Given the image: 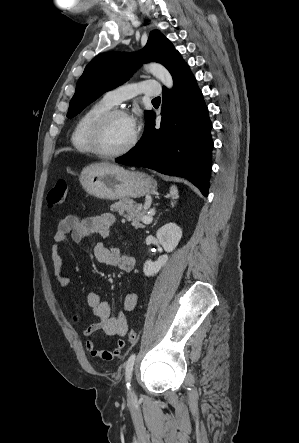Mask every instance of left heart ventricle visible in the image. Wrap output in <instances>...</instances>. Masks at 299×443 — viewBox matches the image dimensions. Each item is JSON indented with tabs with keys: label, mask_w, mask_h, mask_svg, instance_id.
I'll return each mask as SVG.
<instances>
[{
	"label": "left heart ventricle",
	"mask_w": 299,
	"mask_h": 443,
	"mask_svg": "<svg viewBox=\"0 0 299 443\" xmlns=\"http://www.w3.org/2000/svg\"><path fill=\"white\" fill-rule=\"evenodd\" d=\"M134 132L129 117H115L105 128L101 140L102 147L109 152L118 151L131 141Z\"/></svg>",
	"instance_id": "obj_1"
}]
</instances>
